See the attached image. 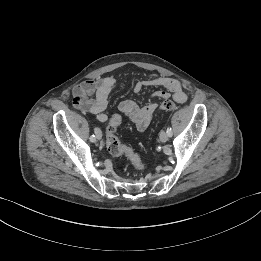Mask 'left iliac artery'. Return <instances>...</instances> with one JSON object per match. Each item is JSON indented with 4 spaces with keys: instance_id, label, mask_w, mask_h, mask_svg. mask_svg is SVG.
I'll use <instances>...</instances> for the list:
<instances>
[{
    "instance_id": "1",
    "label": "left iliac artery",
    "mask_w": 261,
    "mask_h": 261,
    "mask_svg": "<svg viewBox=\"0 0 261 261\" xmlns=\"http://www.w3.org/2000/svg\"><path fill=\"white\" fill-rule=\"evenodd\" d=\"M167 134L169 137H171L173 135L172 130L169 127L167 128Z\"/></svg>"
}]
</instances>
